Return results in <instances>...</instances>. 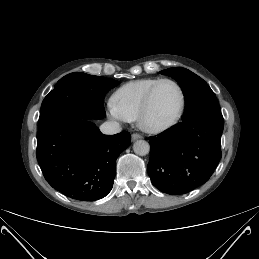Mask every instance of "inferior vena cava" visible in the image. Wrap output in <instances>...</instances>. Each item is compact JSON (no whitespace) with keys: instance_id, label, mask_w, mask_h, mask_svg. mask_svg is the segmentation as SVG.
I'll return each instance as SVG.
<instances>
[{"instance_id":"1","label":"inferior vena cava","mask_w":259,"mask_h":259,"mask_svg":"<svg viewBox=\"0 0 259 259\" xmlns=\"http://www.w3.org/2000/svg\"><path fill=\"white\" fill-rule=\"evenodd\" d=\"M103 134L112 135L121 132V126L116 121H106L100 126Z\"/></svg>"}]
</instances>
